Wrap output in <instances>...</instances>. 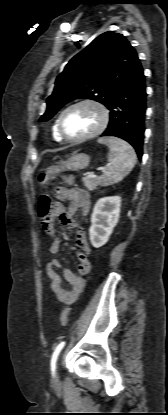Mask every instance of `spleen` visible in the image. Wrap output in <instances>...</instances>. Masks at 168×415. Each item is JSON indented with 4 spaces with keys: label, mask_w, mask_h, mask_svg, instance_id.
I'll return each mask as SVG.
<instances>
[{
    "label": "spleen",
    "mask_w": 168,
    "mask_h": 415,
    "mask_svg": "<svg viewBox=\"0 0 168 415\" xmlns=\"http://www.w3.org/2000/svg\"><path fill=\"white\" fill-rule=\"evenodd\" d=\"M98 142L109 148V166L98 181L102 186H109L121 181L131 172L136 164V153L129 143L119 138L105 137Z\"/></svg>",
    "instance_id": "1"
}]
</instances>
